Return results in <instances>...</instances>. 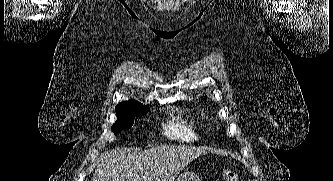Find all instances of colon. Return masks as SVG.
I'll use <instances>...</instances> for the list:
<instances>
[{"label":"colon","mask_w":333,"mask_h":181,"mask_svg":"<svg viewBox=\"0 0 333 181\" xmlns=\"http://www.w3.org/2000/svg\"><path fill=\"white\" fill-rule=\"evenodd\" d=\"M223 181H239L237 173L231 168H225L222 172Z\"/></svg>","instance_id":"1"}]
</instances>
